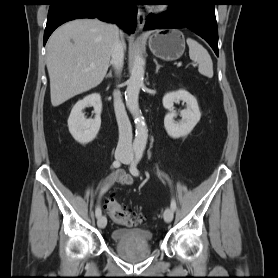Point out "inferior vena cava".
Wrapping results in <instances>:
<instances>
[{"label": "inferior vena cava", "mask_w": 278, "mask_h": 278, "mask_svg": "<svg viewBox=\"0 0 278 278\" xmlns=\"http://www.w3.org/2000/svg\"><path fill=\"white\" fill-rule=\"evenodd\" d=\"M124 61V47L123 43L117 39L111 51V64L120 73ZM114 110L119 127V141L116 151L132 155V127L125 111L124 104L121 99L120 92H114Z\"/></svg>", "instance_id": "inferior-vena-cava-1"}]
</instances>
